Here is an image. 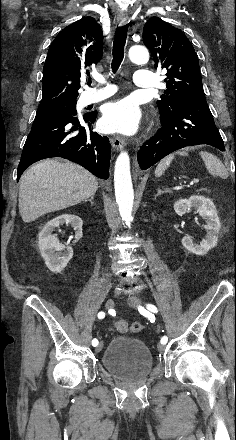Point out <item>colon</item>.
<instances>
[{
    "mask_svg": "<svg viewBox=\"0 0 236 440\" xmlns=\"http://www.w3.org/2000/svg\"><path fill=\"white\" fill-rule=\"evenodd\" d=\"M120 330L127 333H139L143 330V325L141 323L136 322Z\"/></svg>",
    "mask_w": 236,
    "mask_h": 440,
    "instance_id": "5ec220e1",
    "label": "colon"
}]
</instances>
